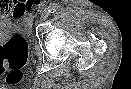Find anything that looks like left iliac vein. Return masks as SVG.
I'll return each instance as SVG.
<instances>
[{
  "instance_id": "left-iliac-vein-1",
  "label": "left iliac vein",
  "mask_w": 131,
  "mask_h": 89,
  "mask_svg": "<svg viewBox=\"0 0 131 89\" xmlns=\"http://www.w3.org/2000/svg\"><path fill=\"white\" fill-rule=\"evenodd\" d=\"M48 17H49V11L45 10V11H43V13L41 15L40 21H45V20H47Z\"/></svg>"
}]
</instances>
